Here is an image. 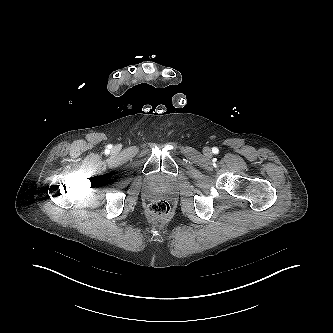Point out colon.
<instances>
[{"label": "colon", "mask_w": 333, "mask_h": 333, "mask_svg": "<svg viewBox=\"0 0 333 333\" xmlns=\"http://www.w3.org/2000/svg\"><path fill=\"white\" fill-rule=\"evenodd\" d=\"M149 212L158 219H165L170 215L171 207L166 200L158 199L150 203Z\"/></svg>", "instance_id": "1"}]
</instances>
